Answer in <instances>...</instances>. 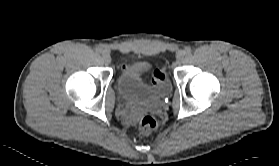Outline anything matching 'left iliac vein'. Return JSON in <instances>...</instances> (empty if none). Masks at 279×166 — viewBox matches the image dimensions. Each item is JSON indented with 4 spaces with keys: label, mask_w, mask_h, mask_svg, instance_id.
I'll use <instances>...</instances> for the list:
<instances>
[{
    "label": "left iliac vein",
    "mask_w": 279,
    "mask_h": 166,
    "mask_svg": "<svg viewBox=\"0 0 279 166\" xmlns=\"http://www.w3.org/2000/svg\"><path fill=\"white\" fill-rule=\"evenodd\" d=\"M183 60H184V53H182V52L178 53L177 58H176V63L181 64L183 62Z\"/></svg>",
    "instance_id": "obj_1"
}]
</instances>
